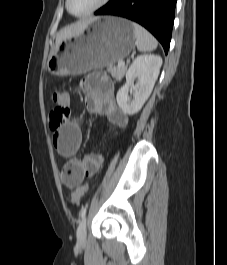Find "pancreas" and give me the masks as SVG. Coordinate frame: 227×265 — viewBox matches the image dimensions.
<instances>
[{
	"label": "pancreas",
	"instance_id": "cf45deb5",
	"mask_svg": "<svg viewBox=\"0 0 227 265\" xmlns=\"http://www.w3.org/2000/svg\"><path fill=\"white\" fill-rule=\"evenodd\" d=\"M127 70L126 66L123 67H113L112 65H109L107 67V71L111 73L113 77H115L117 80H121L124 77V74Z\"/></svg>",
	"mask_w": 227,
	"mask_h": 265
}]
</instances>
